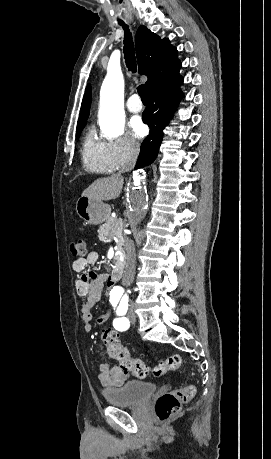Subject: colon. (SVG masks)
<instances>
[{
  "label": "colon",
  "instance_id": "1",
  "mask_svg": "<svg viewBox=\"0 0 271 459\" xmlns=\"http://www.w3.org/2000/svg\"><path fill=\"white\" fill-rule=\"evenodd\" d=\"M70 252L74 257L85 256L86 243L84 239L79 238L72 242ZM101 340L109 356L119 361V365L123 370L131 372L137 378H145L150 372L154 376L159 377L168 371H176L182 367L181 356L174 354L150 370L141 359L131 357L129 350L121 344L117 332L111 328H104L102 330ZM193 394V387H185L161 395L155 404L157 418L160 421L172 418L179 412L181 405L192 398Z\"/></svg>",
  "mask_w": 271,
  "mask_h": 459
}]
</instances>
